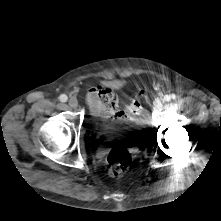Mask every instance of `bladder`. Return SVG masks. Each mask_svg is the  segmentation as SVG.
Listing matches in <instances>:
<instances>
[{
  "label": "bladder",
  "mask_w": 221,
  "mask_h": 221,
  "mask_svg": "<svg viewBox=\"0 0 221 221\" xmlns=\"http://www.w3.org/2000/svg\"><path fill=\"white\" fill-rule=\"evenodd\" d=\"M135 128H141L139 123L122 124L121 122L108 120L104 125L98 127V132L108 136H121Z\"/></svg>",
  "instance_id": "bladder-1"
}]
</instances>
